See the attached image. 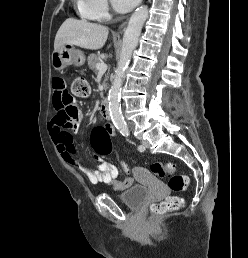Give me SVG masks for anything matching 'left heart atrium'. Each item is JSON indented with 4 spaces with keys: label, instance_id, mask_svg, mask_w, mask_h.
<instances>
[{
    "label": "left heart atrium",
    "instance_id": "left-heart-atrium-1",
    "mask_svg": "<svg viewBox=\"0 0 248 258\" xmlns=\"http://www.w3.org/2000/svg\"><path fill=\"white\" fill-rule=\"evenodd\" d=\"M140 0H112L114 8L118 12L131 10Z\"/></svg>",
    "mask_w": 248,
    "mask_h": 258
}]
</instances>
